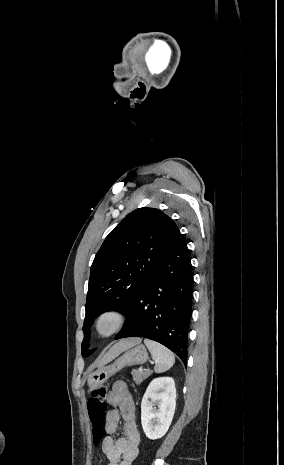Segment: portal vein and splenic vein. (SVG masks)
<instances>
[{"instance_id": "obj_1", "label": "portal vein and splenic vein", "mask_w": 284, "mask_h": 465, "mask_svg": "<svg viewBox=\"0 0 284 465\" xmlns=\"http://www.w3.org/2000/svg\"><path fill=\"white\" fill-rule=\"evenodd\" d=\"M151 365H154V363H151ZM139 371H143V369H139Z\"/></svg>"}]
</instances>
